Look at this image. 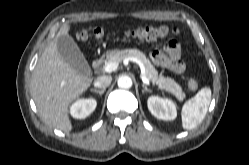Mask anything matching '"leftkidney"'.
Instances as JSON below:
<instances>
[{
    "instance_id": "5707ae66",
    "label": "left kidney",
    "mask_w": 249,
    "mask_h": 165,
    "mask_svg": "<svg viewBox=\"0 0 249 165\" xmlns=\"http://www.w3.org/2000/svg\"><path fill=\"white\" fill-rule=\"evenodd\" d=\"M147 104L149 111L158 119L174 120L177 116L176 106L170 99L151 96Z\"/></svg>"
}]
</instances>
